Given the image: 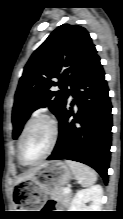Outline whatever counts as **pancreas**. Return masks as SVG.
<instances>
[{"mask_svg":"<svg viewBox=\"0 0 123 219\" xmlns=\"http://www.w3.org/2000/svg\"><path fill=\"white\" fill-rule=\"evenodd\" d=\"M50 196L56 199L57 201L64 203H69L72 197L71 193L69 194L64 193V188H59L51 191Z\"/></svg>","mask_w":123,"mask_h":219,"instance_id":"1","label":"pancreas"}]
</instances>
